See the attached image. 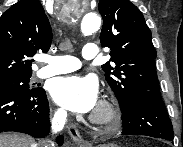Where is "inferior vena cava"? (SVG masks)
<instances>
[{"label": "inferior vena cava", "instance_id": "1", "mask_svg": "<svg viewBox=\"0 0 183 147\" xmlns=\"http://www.w3.org/2000/svg\"><path fill=\"white\" fill-rule=\"evenodd\" d=\"M67 112L65 110H58L52 120L51 128L53 133H58L64 128V124L66 121ZM51 145L50 140H43L39 143V145H35V147H49Z\"/></svg>", "mask_w": 183, "mask_h": 147}]
</instances>
